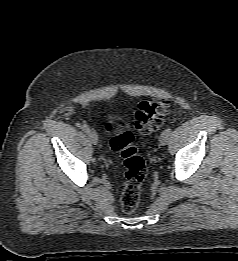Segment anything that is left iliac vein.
Wrapping results in <instances>:
<instances>
[{"mask_svg": "<svg viewBox=\"0 0 238 261\" xmlns=\"http://www.w3.org/2000/svg\"><path fill=\"white\" fill-rule=\"evenodd\" d=\"M169 136H170V134L166 130L163 131L159 138L160 144L163 146L166 145L169 141Z\"/></svg>", "mask_w": 238, "mask_h": 261, "instance_id": "obj_1", "label": "left iliac vein"}]
</instances>
